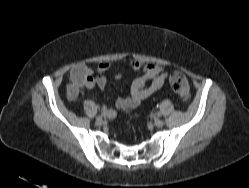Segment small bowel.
Wrapping results in <instances>:
<instances>
[{
    "mask_svg": "<svg viewBox=\"0 0 249 188\" xmlns=\"http://www.w3.org/2000/svg\"><path fill=\"white\" fill-rule=\"evenodd\" d=\"M130 67L134 71H140L141 73L133 77L129 96L119 98L116 101V107L125 112L137 109L143 100L163 87L169 76L168 71L163 66L155 63L133 61L130 63ZM109 68L110 64L108 62H101L97 67L98 75L96 77L92 75L86 66L81 65L73 68L71 70L72 82L69 88V96L75 98L81 88L91 90L98 87L99 89H104L107 85V78L104 73ZM76 73H80V78L76 77ZM122 77L123 73L121 71L115 74L116 79ZM103 111L110 118L116 115L113 109L103 108Z\"/></svg>",
    "mask_w": 249,
    "mask_h": 188,
    "instance_id": "c3829d8e",
    "label": "small bowel"
}]
</instances>
